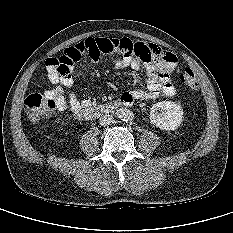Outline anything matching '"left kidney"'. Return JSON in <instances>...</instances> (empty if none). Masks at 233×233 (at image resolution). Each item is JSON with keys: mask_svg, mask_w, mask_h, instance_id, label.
Here are the masks:
<instances>
[{"mask_svg": "<svg viewBox=\"0 0 233 233\" xmlns=\"http://www.w3.org/2000/svg\"><path fill=\"white\" fill-rule=\"evenodd\" d=\"M183 109L171 101L154 104L150 111V122L162 130H176L182 122Z\"/></svg>", "mask_w": 233, "mask_h": 233, "instance_id": "1", "label": "left kidney"}]
</instances>
